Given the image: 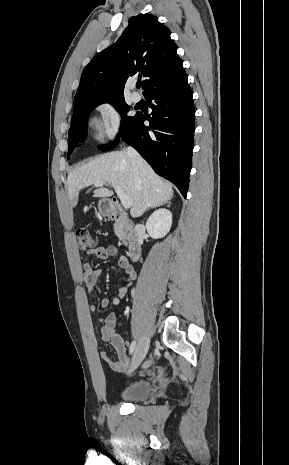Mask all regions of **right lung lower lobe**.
I'll return each mask as SVG.
<instances>
[{"label":"right lung lower lobe","mask_w":289,"mask_h":465,"mask_svg":"<svg viewBox=\"0 0 289 465\" xmlns=\"http://www.w3.org/2000/svg\"><path fill=\"white\" fill-rule=\"evenodd\" d=\"M151 116L137 114L123 139L160 176L177 186L186 198L191 171L195 110L187 79L149 93ZM149 121V126L144 121Z\"/></svg>","instance_id":"98d812e1"}]
</instances>
